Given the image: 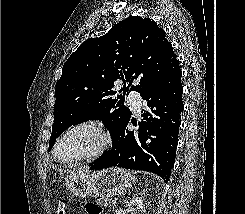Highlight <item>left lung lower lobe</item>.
<instances>
[{
    "label": "left lung lower lobe",
    "instance_id": "obj_1",
    "mask_svg": "<svg viewBox=\"0 0 245 214\" xmlns=\"http://www.w3.org/2000/svg\"><path fill=\"white\" fill-rule=\"evenodd\" d=\"M183 87L176 64L153 88L141 94L149 111H143L138 133L122 127L112 145L91 165L90 170L118 166L155 173L168 181L176 157Z\"/></svg>",
    "mask_w": 245,
    "mask_h": 214
}]
</instances>
